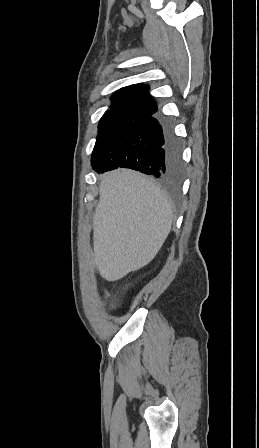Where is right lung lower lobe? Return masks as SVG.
I'll use <instances>...</instances> for the list:
<instances>
[{
	"label": "right lung lower lobe",
	"instance_id": "1",
	"mask_svg": "<svg viewBox=\"0 0 259 448\" xmlns=\"http://www.w3.org/2000/svg\"><path fill=\"white\" fill-rule=\"evenodd\" d=\"M154 114L131 123L103 151L93 170L102 173L118 167L130 168L175 184L182 174L181 145L170 123L165 122L163 127Z\"/></svg>",
	"mask_w": 259,
	"mask_h": 448
}]
</instances>
